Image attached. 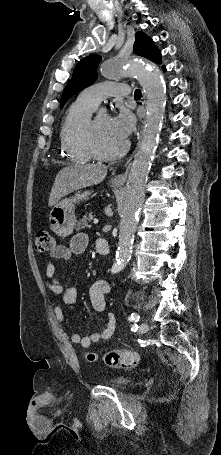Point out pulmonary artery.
<instances>
[{
	"label": "pulmonary artery",
	"mask_w": 221,
	"mask_h": 455,
	"mask_svg": "<svg viewBox=\"0 0 221 455\" xmlns=\"http://www.w3.org/2000/svg\"><path fill=\"white\" fill-rule=\"evenodd\" d=\"M130 88L124 83L101 82L85 88L81 93V99L94 108L105 98L116 95H128Z\"/></svg>",
	"instance_id": "pulmonary-artery-1"
}]
</instances>
